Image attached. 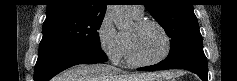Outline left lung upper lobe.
<instances>
[{
  "instance_id": "5c2ea615",
  "label": "left lung upper lobe",
  "mask_w": 237,
  "mask_h": 81,
  "mask_svg": "<svg viewBox=\"0 0 237 81\" xmlns=\"http://www.w3.org/2000/svg\"><path fill=\"white\" fill-rule=\"evenodd\" d=\"M144 6L171 38L170 52L164 63L204 55L202 36L191 0H146Z\"/></svg>"
}]
</instances>
